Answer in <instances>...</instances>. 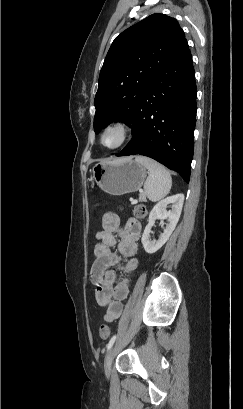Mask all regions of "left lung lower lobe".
Listing matches in <instances>:
<instances>
[{
  "mask_svg": "<svg viewBox=\"0 0 243 409\" xmlns=\"http://www.w3.org/2000/svg\"><path fill=\"white\" fill-rule=\"evenodd\" d=\"M196 93L192 56L185 39L152 80L130 126L134 135L116 156H148L189 182Z\"/></svg>",
  "mask_w": 243,
  "mask_h": 409,
  "instance_id": "1",
  "label": "left lung lower lobe"
}]
</instances>
